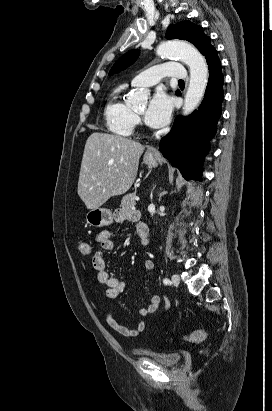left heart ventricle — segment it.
<instances>
[{"mask_svg":"<svg viewBox=\"0 0 272 411\" xmlns=\"http://www.w3.org/2000/svg\"><path fill=\"white\" fill-rule=\"evenodd\" d=\"M143 111H144V108H140V109L137 110V112H138L139 114H142Z\"/></svg>","mask_w":272,"mask_h":411,"instance_id":"b2bd125f","label":"left heart ventricle"}]
</instances>
